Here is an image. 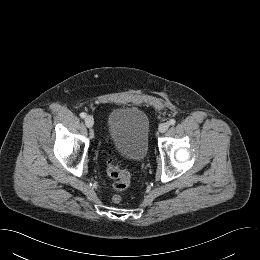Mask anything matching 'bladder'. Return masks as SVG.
Here are the masks:
<instances>
[{"label": "bladder", "mask_w": 260, "mask_h": 260, "mask_svg": "<svg viewBox=\"0 0 260 260\" xmlns=\"http://www.w3.org/2000/svg\"><path fill=\"white\" fill-rule=\"evenodd\" d=\"M149 120L134 107H120L108 115V132L113 145L122 157L142 161L149 150Z\"/></svg>", "instance_id": "obj_1"}]
</instances>
